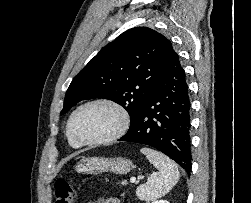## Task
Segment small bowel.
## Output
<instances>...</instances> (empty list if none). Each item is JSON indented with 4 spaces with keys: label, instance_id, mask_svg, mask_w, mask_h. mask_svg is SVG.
I'll use <instances>...</instances> for the list:
<instances>
[{
    "label": "small bowel",
    "instance_id": "small-bowel-1",
    "mask_svg": "<svg viewBox=\"0 0 251 203\" xmlns=\"http://www.w3.org/2000/svg\"><path fill=\"white\" fill-rule=\"evenodd\" d=\"M88 203H121L117 198L108 197V198H102L96 201H90Z\"/></svg>",
    "mask_w": 251,
    "mask_h": 203
}]
</instances>
